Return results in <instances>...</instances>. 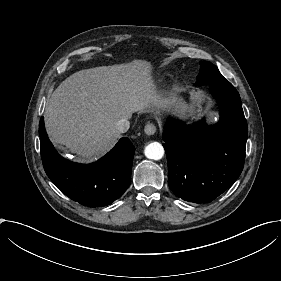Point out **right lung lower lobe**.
<instances>
[{
  "instance_id": "right-lung-lower-lobe-1",
  "label": "right lung lower lobe",
  "mask_w": 281,
  "mask_h": 281,
  "mask_svg": "<svg viewBox=\"0 0 281 281\" xmlns=\"http://www.w3.org/2000/svg\"><path fill=\"white\" fill-rule=\"evenodd\" d=\"M39 136L44 170L70 199L88 207L107 206L128 188L135 148L127 137L103 158L86 165L70 162L57 153L46 134L43 117Z\"/></svg>"
}]
</instances>
